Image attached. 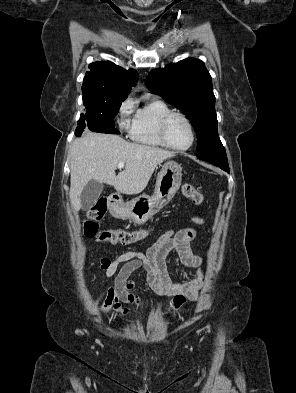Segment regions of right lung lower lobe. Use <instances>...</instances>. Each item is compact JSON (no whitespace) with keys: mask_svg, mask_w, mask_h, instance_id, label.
Segmentation results:
<instances>
[{"mask_svg":"<svg viewBox=\"0 0 296 393\" xmlns=\"http://www.w3.org/2000/svg\"><path fill=\"white\" fill-rule=\"evenodd\" d=\"M84 129H90L93 132H99V133L120 134V132L115 128H106L94 124H83L77 126L75 135L78 137L81 136Z\"/></svg>","mask_w":296,"mask_h":393,"instance_id":"1","label":"right lung lower lobe"}]
</instances>
